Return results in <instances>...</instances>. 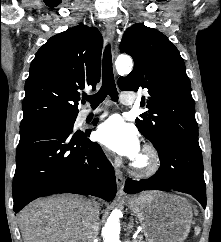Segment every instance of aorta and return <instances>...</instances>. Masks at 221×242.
Returning a JSON list of instances; mask_svg holds the SVG:
<instances>
[{
    "label": "aorta",
    "instance_id": "aorta-1",
    "mask_svg": "<svg viewBox=\"0 0 221 242\" xmlns=\"http://www.w3.org/2000/svg\"><path fill=\"white\" fill-rule=\"evenodd\" d=\"M116 70L119 75H127L132 70V59L129 56H119L116 60ZM119 210L115 209L108 217L102 229L103 242H120Z\"/></svg>",
    "mask_w": 221,
    "mask_h": 242
}]
</instances>
